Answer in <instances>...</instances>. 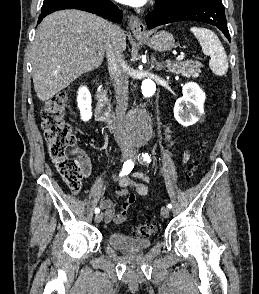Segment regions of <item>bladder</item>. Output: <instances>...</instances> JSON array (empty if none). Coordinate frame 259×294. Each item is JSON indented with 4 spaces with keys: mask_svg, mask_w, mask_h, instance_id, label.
<instances>
[{
    "mask_svg": "<svg viewBox=\"0 0 259 294\" xmlns=\"http://www.w3.org/2000/svg\"><path fill=\"white\" fill-rule=\"evenodd\" d=\"M107 243L113 248L126 253L142 252L152 245V241L149 239L131 237L120 232L110 233L107 237Z\"/></svg>",
    "mask_w": 259,
    "mask_h": 294,
    "instance_id": "bladder-1",
    "label": "bladder"
}]
</instances>
